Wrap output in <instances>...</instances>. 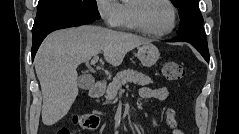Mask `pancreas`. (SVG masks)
<instances>
[{
	"label": "pancreas",
	"mask_w": 239,
	"mask_h": 134,
	"mask_svg": "<svg viewBox=\"0 0 239 134\" xmlns=\"http://www.w3.org/2000/svg\"><path fill=\"white\" fill-rule=\"evenodd\" d=\"M129 82H133L140 86L149 85L152 83V80L149 76L144 75L141 72H137L131 69L123 70L119 72L114 78L113 81L108 85L106 90V100L107 102L113 100L121 87Z\"/></svg>",
	"instance_id": "pancreas-1"
}]
</instances>
